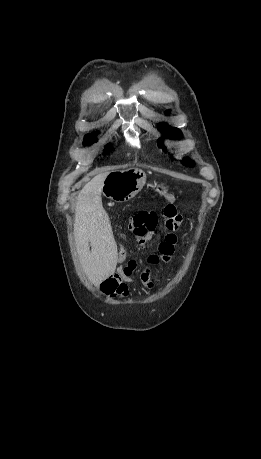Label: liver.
<instances>
[{
	"mask_svg": "<svg viewBox=\"0 0 261 459\" xmlns=\"http://www.w3.org/2000/svg\"><path fill=\"white\" fill-rule=\"evenodd\" d=\"M109 173V170L98 173L82 188L75 208L77 253L83 270L96 286L115 272L118 259L117 245L101 199Z\"/></svg>",
	"mask_w": 261,
	"mask_h": 459,
	"instance_id": "6515ba94",
	"label": "liver"
}]
</instances>
